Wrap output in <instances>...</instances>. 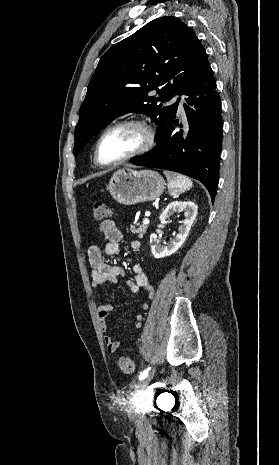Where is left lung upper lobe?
<instances>
[{"label":"left lung upper lobe","instance_id":"1","mask_svg":"<svg viewBox=\"0 0 279 465\" xmlns=\"http://www.w3.org/2000/svg\"><path fill=\"white\" fill-rule=\"evenodd\" d=\"M205 53L192 29L173 16L152 20L112 46L89 82L75 128L74 155L126 112L143 113L155 120L158 142L175 120L178 106V102L163 103L184 93Z\"/></svg>","mask_w":279,"mask_h":465}]
</instances>
